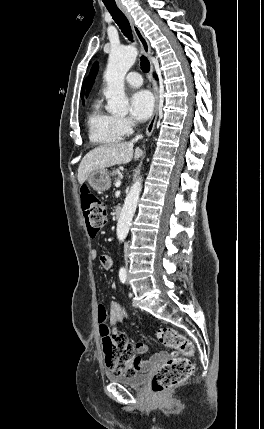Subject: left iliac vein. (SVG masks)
<instances>
[{"label": "left iliac vein", "mask_w": 264, "mask_h": 429, "mask_svg": "<svg viewBox=\"0 0 264 429\" xmlns=\"http://www.w3.org/2000/svg\"><path fill=\"white\" fill-rule=\"evenodd\" d=\"M127 285L130 286L129 276L127 277Z\"/></svg>", "instance_id": "left-iliac-vein-1"}]
</instances>
